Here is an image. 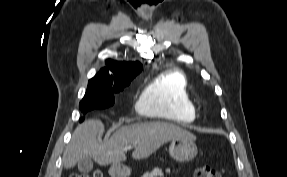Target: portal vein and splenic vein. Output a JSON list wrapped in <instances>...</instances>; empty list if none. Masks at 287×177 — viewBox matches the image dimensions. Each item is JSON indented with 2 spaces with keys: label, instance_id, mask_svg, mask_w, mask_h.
Listing matches in <instances>:
<instances>
[{
  "label": "portal vein and splenic vein",
  "instance_id": "1",
  "mask_svg": "<svg viewBox=\"0 0 287 177\" xmlns=\"http://www.w3.org/2000/svg\"><path fill=\"white\" fill-rule=\"evenodd\" d=\"M131 145H129V146H126L125 148H124V150H129V149H131Z\"/></svg>",
  "mask_w": 287,
  "mask_h": 177
}]
</instances>
